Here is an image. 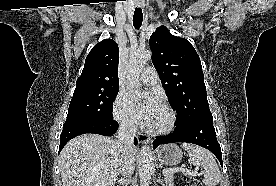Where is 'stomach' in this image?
I'll list each match as a JSON object with an SVG mask.
<instances>
[{
    "instance_id": "stomach-1",
    "label": "stomach",
    "mask_w": 276,
    "mask_h": 186,
    "mask_svg": "<svg viewBox=\"0 0 276 186\" xmlns=\"http://www.w3.org/2000/svg\"><path fill=\"white\" fill-rule=\"evenodd\" d=\"M157 157L161 164L175 166L181 162L183 153L176 144H166L158 149Z\"/></svg>"
}]
</instances>
